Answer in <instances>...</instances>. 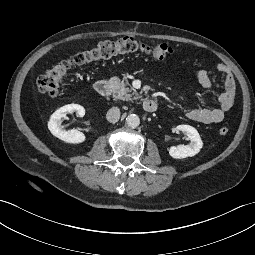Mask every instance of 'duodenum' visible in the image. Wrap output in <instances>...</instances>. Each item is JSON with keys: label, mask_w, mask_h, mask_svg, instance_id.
<instances>
[{"label": "duodenum", "mask_w": 255, "mask_h": 255, "mask_svg": "<svg viewBox=\"0 0 255 255\" xmlns=\"http://www.w3.org/2000/svg\"><path fill=\"white\" fill-rule=\"evenodd\" d=\"M95 91L101 96H108L111 92L110 82L106 79H99L95 82ZM146 112H154L158 107V102L154 99H147L142 104Z\"/></svg>", "instance_id": "1"}]
</instances>
